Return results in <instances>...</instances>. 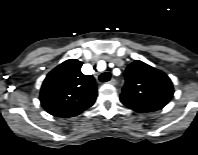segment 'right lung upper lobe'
<instances>
[{
	"instance_id": "right-lung-upper-lobe-1",
	"label": "right lung upper lobe",
	"mask_w": 198,
	"mask_h": 155,
	"mask_svg": "<svg viewBox=\"0 0 198 155\" xmlns=\"http://www.w3.org/2000/svg\"><path fill=\"white\" fill-rule=\"evenodd\" d=\"M82 62L69 59L45 78L40 92L43 108L53 116L73 117L91 107L97 97L91 75L81 72Z\"/></svg>"
}]
</instances>
